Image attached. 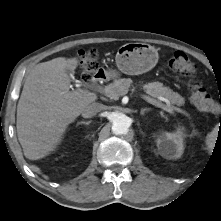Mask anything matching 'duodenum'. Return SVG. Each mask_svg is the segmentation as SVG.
Listing matches in <instances>:
<instances>
[{
  "mask_svg": "<svg viewBox=\"0 0 221 221\" xmlns=\"http://www.w3.org/2000/svg\"><path fill=\"white\" fill-rule=\"evenodd\" d=\"M108 75L104 70H98L94 75L93 79L96 83L107 80Z\"/></svg>",
  "mask_w": 221,
  "mask_h": 221,
  "instance_id": "obj_1",
  "label": "duodenum"
}]
</instances>
